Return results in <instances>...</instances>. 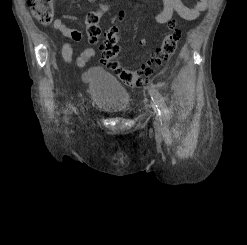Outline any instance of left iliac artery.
<instances>
[{
    "label": "left iliac artery",
    "instance_id": "left-iliac-artery-1",
    "mask_svg": "<svg viewBox=\"0 0 247 245\" xmlns=\"http://www.w3.org/2000/svg\"><path fill=\"white\" fill-rule=\"evenodd\" d=\"M150 95L152 101L157 107L161 119V123L163 124L164 127H167L169 124L170 115L163 96L154 88L150 90Z\"/></svg>",
    "mask_w": 247,
    "mask_h": 245
}]
</instances>
